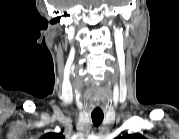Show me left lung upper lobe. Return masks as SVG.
<instances>
[{
    "label": "left lung upper lobe",
    "instance_id": "5c2ea615",
    "mask_svg": "<svg viewBox=\"0 0 179 139\" xmlns=\"http://www.w3.org/2000/svg\"><path fill=\"white\" fill-rule=\"evenodd\" d=\"M138 136V134H135V135H125L123 136L122 138L123 139H136V137Z\"/></svg>",
    "mask_w": 179,
    "mask_h": 139
}]
</instances>
